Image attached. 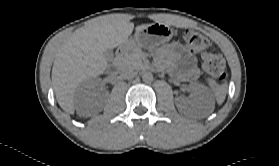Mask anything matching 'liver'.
Returning <instances> with one entry per match:
<instances>
[{
  "mask_svg": "<svg viewBox=\"0 0 279 166\" xmlns=\"http://www.w3.org/2000/svg\"><path fill=\"white\" fill-rule=\"evenodd\" d=\"M150 24L135 28L141 31ZM134 24L125 15L99 17L88 26L75 30L59 48L53 68L52 83L60 107L74 114V93L86 79L101 75L107 68L103 53L123 44L131 35Z\"/></svg>",
  "mask_w": 279,
  "mask_h": 166,
  "instance_id": "liver-1",
  "label": "liver"
}]
</instances>
